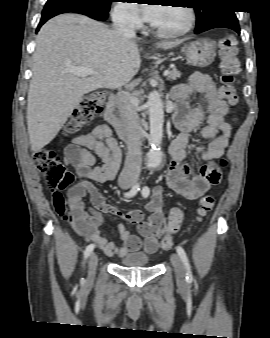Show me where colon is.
I'll return each mask as SVG.
<instances>
[{
    "label": "colon",
    "mask_w": 270,
    "mask_h": 338,
    "mask_svg": "<svg viewBox=\"0 0 270 338\" xmlns=\"http://www.w3.org/2000/svg\"><path fill=\"white\" fill-rule=\"evenodd\" d=\"M221 56V82L224 97L230 104L235 103L236 75L240 72L238 59V42L233 36H225L219 41ZM105 96L103 93L95 92L83 98L75 108L70 120L65 124L63 132L71 135L89 125L93 119L100 115L104 108ZM33 160L40 172L45 176L48 187L54 192V207L60 214L63 210L60 206V192L66 189L73 181V174L61 163L56 151L41 148L34 152ZM227 160L222 159L219 165L207 166L214 172L220 168H226ZM215 197L212 194L205 195L198 208L199 219L208 214L214 207ZM183 221V212L174 208L169 215L165 235L161 239L163 250H169L173 246V235L179 230Z\"/></svg>",
    "instance_id": "obj_1"
}]
</instances>
